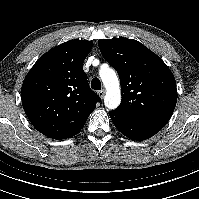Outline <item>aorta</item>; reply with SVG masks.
<instances>
[{
  "label": "aorta",
  "instance_id": "obj_1",
  "mask_svg": "<svg viewBox=\"0 0 199 199\" xmlns=\"http://www.w3.org/2000/svg\"><path fill=\"white\" fill-rule=\"evenodd\" d=\"M99 75L107 91L104 104L111 110L116 109L121 102L120 85L116 72L109 67H105L99 71Z\"/></svg>",
  "mask_w": 199,
  "mask_h": 199
}]
</instances>
